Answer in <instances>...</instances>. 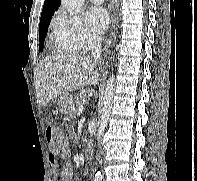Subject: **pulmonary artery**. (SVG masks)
Masks as SVG:
<instances>
[{
	"mask_svg": "<svg viewBox=\"0 0 197 181\" xmlns=\"http://www.w3.org/2000/svg\"><path fill=\"white\" fill-rule=\"evenodd\" d=\"M104 0H91L94 4H101Z\"/></svg>",
	"mask_w": 197,
	"mask_h": 181,
	"instance_id": "e3ab8cb5",
	"label": "pulmonary artery"
}]
</instances>
